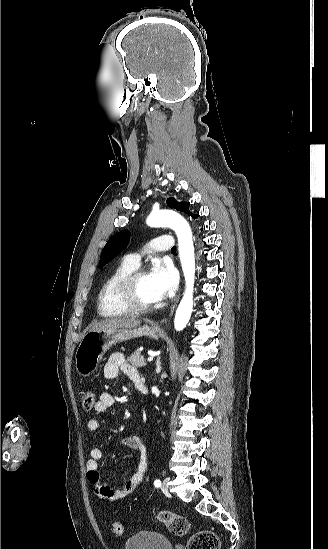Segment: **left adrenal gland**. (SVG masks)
<instances>
[{"mask_svg": "<svg viewBox=\"0 0 328 549\" xmlns=\"http://www.w3.org/2000/svg\"><path fill=\"white\" fill-rule=\"evenodd\" d=\"M156 365H157L156 373H160V371H161V367H160V359H158V361H157Z\"/></svg>", "mask_w": 328, "mask_h": 549, "instance_id": "obj_1", "label": "left adrenal gland"}]
</instances>
